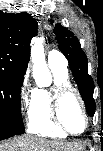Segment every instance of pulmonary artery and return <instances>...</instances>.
Masks as SVG:
<instances>
[{
  "label": "pulmonary artery",
  "instance_id": "1",
  "mask_svg": "<svg viewBox=\"0 0 103 151\" xmlns=\"http://www.w3.org/2000/svg\"><path fill=\"white\" fill-rule=\"evenodd\" d=\"M48 64L49 66H57L62 69H67V59L62 53L57 50H52L48 54Z\"/></svg>",
  "mask_w": 103,
  "mask_h": 151
}]
</instances>
